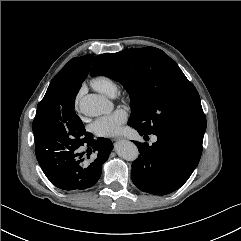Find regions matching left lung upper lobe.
Masks as SVG:
<instances>
[{
    "label": "left lung upper lobe",
    "instance_id": "left-lung-upper-lobe-1",
    "mask_svg": "<svg viewBox=\"0 0 241 241\" xmlns=\"http://www.w3.org/2000/svg\"><path fill=\"white\" fill-rule=\"evenodd\" d=\"M120 82L130 95L131 115L144 134L176 128L204 135L206 118L199 94L174 60L154 47L98 55L91 76Z\"/></svg>",
    "mask_w": 241,
    "mask_h": 241
}]
</instances>
